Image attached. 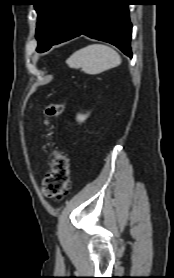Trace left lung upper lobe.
Segmentation results:
<instances>
[{
	"mask_svg": "<svg viewBox=\"0 0 174 278\" xmlns=\"http://www.w3.org/2000/svg\"><path fill=\"white\" fill-rule=\"evenodd\" d=\"M77 0H36L37 12L36 39L38 52L47 51L59 39Z\"/></svg>",
	"mask_w": 174,
	"mask_h": 278,
	"instance_id": "obj_1",
	"label": "left lung upper lobe"
}]
</instances>
